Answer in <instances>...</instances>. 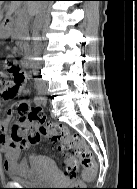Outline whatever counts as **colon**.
Listing matches in <instances>:
<instances>
[{
    "instance_id": "5ec220e1",
    "label": "colon",
    "mask_w": 137,
    "mask_h": 189,
    "mask_svg": "<svg viewBox=\"0 0 137 189\" xmlns=\"http://www.w3.org/2000/svg\"><path fill=\"white\" fill-rule=\"evenodd\" d=\"M24 77L23 70L15 63L9 62L5 70L0 69V97L5 100L15 97ZM24 111L29 125L24 127L17 123L12 127L15 140L33 145L38 144L42 137L47 138L57 151L65 153L63 169L66 177L75 178L79 164L84 168L85 179L96 176L97 166L93 154L80 135L70 134L62 124L46 122L39 106H26Z\"/></svg>"
}]
</instances>
